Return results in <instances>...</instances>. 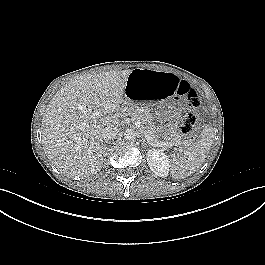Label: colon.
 Wrapping results in <instances>:
<instances>
[{
    "mask_svg": "<svg viewBox=\"0 0 265 265\" xmlns=\"http://www.w3.org/2000/svg\"><path fill=\"white\" fill-rule=\"evenodd\" d=\"M177 95L183 98L184 102L191 108L196 109L200 105V100L196 90L189 83L185 81H179L177 88ZM201 116L197 111H192L187 114L181 124V132L185 136H191L196 133L200 127Z\"/></svg>",
    "mask_w": 265,
    "mask_h": 265,
    "instance_id": "obj_1",
    "label": "colon"
}]
</instances>
